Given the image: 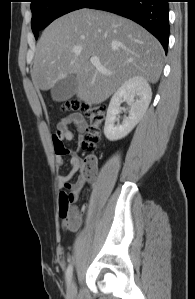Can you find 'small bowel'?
I'll return each mask as SVG.
<instances>
[{
	"instance_id": "1",
	"label": "small bowel",
	"mask_w": 195,
	"mask_h": 299,
	"mask_svg": "<svg viewBox=\"0 0 195 299\" xmlns=\"http://www.w3.org/2000/svg\"><path fill=\"white\" fill-rule=\"evenodd\" d=\"M72 126H75L77 131L80 133L78 137L79 146L76 150L67 149L64 147L65 142H71L74 139V133L72 131ZM87 128V123L83 116L80 114H72L63 118L58 124L57 133L53 136V143L56 150V162L58 166H62L64 163L63 157L65 155L70 156V170L68 173L58 176V186L60 189L65 187L69 188V182L73 176L79 171L83 166V162L79 157V149L81 147V141L83 140V133ZM90 165L95 172L96 161L91 158ZM82 178L79 177L77 182L73 184L71 192L74 194L75 198L80 190L75 188V185L81 186ZM62 225L69 231H77L83 222L82 215L78 212L75 217H61Z\"/></svg>"
}]
</instances>
